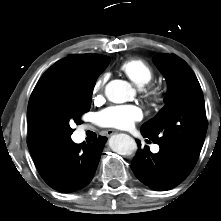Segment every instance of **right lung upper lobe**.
<instances>
[{
	"label": "right lung upper lobe",
	"instance_id": "obj_1",
	"mask_svg": "<svg viewBox=\"0 0 221 221\" xmlns=\"http://www.w3.org/2000/svg\"><path fill=\"white\" fill-rule=\"evenodd\" d=\"M107 56L99 54H73L57 61L40 78L36 84L28 104L27 120L28 124L32 117L46 99L59 93L68 80H70L79 70L102 64ZM32 156L40 152L30 149Z\"/></svg>",
	"mask_w": 221,
	"mask_h": 221
}]
</instances>
